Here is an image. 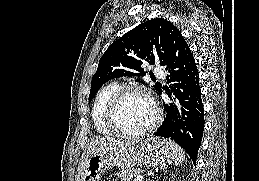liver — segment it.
Returning <instances> with one entry per match:
<instances>
[{"label": "liver", "mask_w": 259, "mask_h": 181, "mask_svg": "<svg viewBox=\"0 0 259 181\" xmlns=\"http://www.w3.org/2000/svg\"><path fill=\"white\" fill-rule=\"evenodd\" d=\"M137 141H120L113 138H99L94 141H92L88 147L87 151L89 150H123L125 148H128L134 144H136Z\"/></svg>", "instance_id": "6515ba94"}]
</instances>
